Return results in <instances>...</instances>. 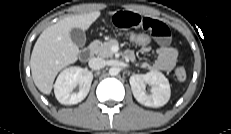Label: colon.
Wrapping results in <instances>:
<instances>
[{
  "label": "colon",
  "mask_w": 231,
  "mask_h": 134,
  "mask_svg": "<svg viewBox=\"0 0 231 134\" xmlns=\"http://www.w3.org/2000/svg\"><path fill=\"white\" fill-rule=\"evenodd\" d=\"M117 35L129 44L139 46L141 48L149 47L152 42V37L147 33L134 31H117ZM175 75L179 81L186 79V71L183 67L175 69Z\"/></svg>",
  "instance_id": "colon-1"
}]
</instances>
